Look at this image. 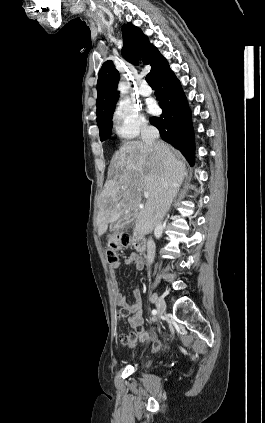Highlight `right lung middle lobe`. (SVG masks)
<instances>
[{"label":"right lung middle lobe","mask_w":265,"mask_h":423,"mask_svg":"<svg viewBox=\"0 0 265 423\" xmlns=\"http://www.w3.org/2000/svg\"><path fill=\"white\" fill-rule=\"evenodd\" d=\"M113 112L114 111L110 112L103 121L98 124L101 141L107 140L111 136Z\"/></svg>","instance_id":"dd1d6c3e"}]
</instances>
